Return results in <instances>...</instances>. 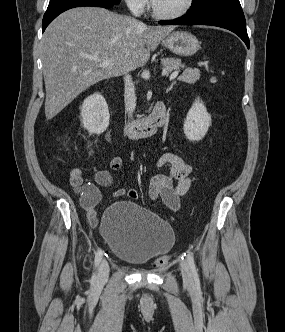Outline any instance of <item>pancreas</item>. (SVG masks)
Segmentation results:
<instances>
[{"instance_id": "pancreas-1", "label": "pancreas", "mask_w": 285, "mask_h": 332, "mask_svg": "<svg viewBox=\"0 0 285 332\" xmlns=\"http://www.w3.org/2000/svg\"><path fill=\"white\" fill-rule=\"evenodd\" d=\"M161 63L163 66V70H165L167 73L175 69L184 67L179 59H174V58L162 59ZM199 78H200V72L198 70L187 68L185 69L183 74L179 76L178 80L183 81L185 83L194 84L197 80H199Z\"/></svg>"}]
</instances>
